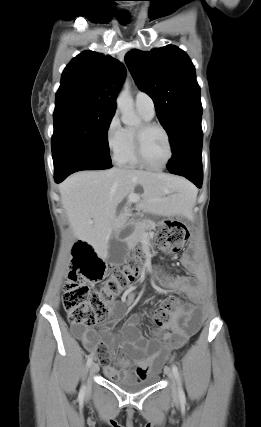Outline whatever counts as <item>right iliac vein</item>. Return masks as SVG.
<instances>
[{
	"instance_id": "obj_1",
	"label": "right iliac vein",
	"mask_w": 261,
	"mask_h": 427,
	"mask_svg": "<svg viewBox=\"0 0 261 427\" xmlns=\"http://www.w3.org/2000/svg\"><path fill=\"white\" fill-rule=\"evenodd\" d=\"M99 371V366H98V364L97 363H92L91 364V366H90V372H91V374H95V373H97ZM90 384H91V381L89 380V387H90Z\"/></svg>"
}]
</instances>
